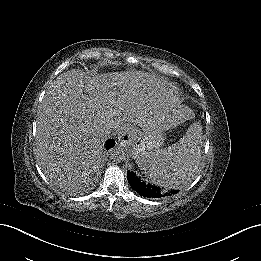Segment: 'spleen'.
<instances>
[{
  "instance_id": "obj_1",
  "label": "spleen",
  "mask_w": 261,
  "mask_h": 261,
  "mask_svg": "<svg viewBox=\"0 0 261 261\" xmlns=\"http://www.w3.org/2000/svg\"><path fill=\"white\" fill-rule=\"evenodd\" d=\"M200 130L198 125L190 126L186 135L172 146L146 154L137 162L139 167L157 185L169 188L180 187L200 161ZM179 165L185 167L187 172L186 170L177 172Z\"/></svg>"
}]
</instances>
